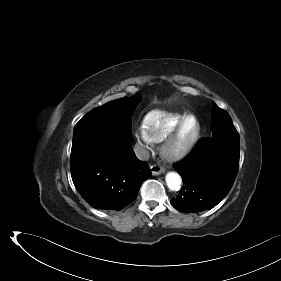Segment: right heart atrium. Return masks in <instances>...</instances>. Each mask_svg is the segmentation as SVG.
Listing matches in <instances>:
<instances>
[{"label": "right heart atrium", "instance_id": "1", "mask_svg": "<svg viewBox=\"0 0 281 281\" xmlns=\"http://www.w3.org/2000/svg\"><path fill=\"white\" fill-rule=\"evenodd\" d=\"M135 136L143 153L151 148L153 142L150 140L143 127L137 129Z\"/></svg>", "mask_w": 281, "mask_h": 281}]
</instances>
